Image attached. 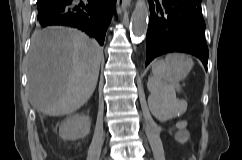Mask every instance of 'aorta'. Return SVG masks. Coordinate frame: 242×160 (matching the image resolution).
<instances>
[{"instance_id": "obj_1", "label": "aorta", "mask_w": 242, "mask_h": 160, "mask_svg": "<svg viewBox=\"0 0 242 160\" xmlns=\"http://www.w3.org/2000/svg\"><path fill=\"white\" fill-rule=\"evenodd\" d=\"M149 11L145 0H137L131 18V33L135 37H142L147 31Z\"/></svg>"}]
</instances>
